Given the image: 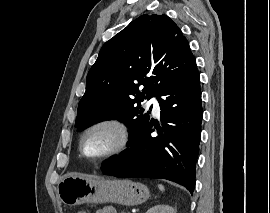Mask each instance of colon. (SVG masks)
I'll use <instances>...</instances> for the list:
<instances>
[{
	"label": "colon",
	"instance_id": "obj_1",
	"mask_svg": "<svg viewBox=\"0 0 270 213\" xmlns=\"http://www.w3.org/2000/svg\"><path fill=\"white\" fill-rule=\"evenodd\" d=\"M75 213H86V212H84L83 210H79V211H77Z\"/></svg>",
	"mask_w": 270,
	"mask_h": 213
}]
</instances>
